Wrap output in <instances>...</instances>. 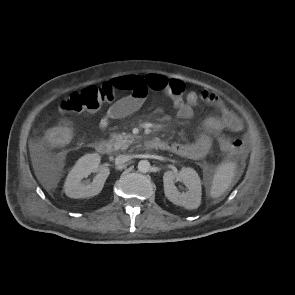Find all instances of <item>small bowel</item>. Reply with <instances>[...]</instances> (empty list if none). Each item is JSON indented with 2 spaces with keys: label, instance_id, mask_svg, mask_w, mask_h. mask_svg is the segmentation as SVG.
I'll list each match as a JSON object with an SVG mask.
<instances>
[{
  "label": "small bowel",
  "instance_id": "1",
  "mask_svg": "<svg viewBox=\"0 0 295 295\" xmlns=\"http://www.w3.org/2000/svg\"><path fill=\"white\" fill-rule=\"evenodd\" d=\"M109 83L120 90L129 91L130 94L109 106L99 121V127L102 130L108 127L111 120L124 118L139 110L150 90L166 94L172 101L176 116L182 120H188L193 116L194 106L200 98L219 109L220 115L210 117L205 121L203 133L195 141L188 143L163 142V150L182 157L201 159L209 153L213 144V136L223 130L238 132L243 127L241 119L214 93L208 91L201 94L195 91L186 92L185 83L177 79H170L159 74H149L115 78Z\"/></svg>",
  "mask_w": 295,
  "mask_h": 295
}]
</instances>
